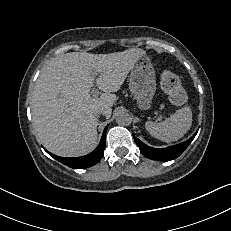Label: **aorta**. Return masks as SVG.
<instances>
[{
	"mask_svg": "<svg viewBox=\"0 0 231 231\" xmlns=\"http://www.w3.org/2000/svg\"><path fill=\"white\" fill-rule=\"evenodd\" d=\"M116 123L120 126H129L132 123V118L128 113L122 111L117 114Z\"/></svg>",
	"mask_w": 231,
	"mask_h": 231,
	"instance_id": "obj_1",
	"label": "aorta"
}]
</instances>
